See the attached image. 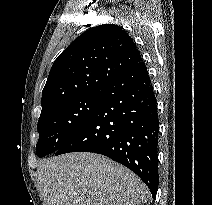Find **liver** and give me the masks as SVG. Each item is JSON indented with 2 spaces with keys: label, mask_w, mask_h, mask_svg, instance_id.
Masks as SVG:
<instances>
[{
  "label": "liver",
  "mask_w": 212,
  "mask_h": 205,
  "mask_svg": "<svg viewBox=\"0 0 212 205\" xmlns=\"http://www.w3.org/2000/svg\"><path fill=\"white\" fill-rule=\"evenodd\" d=\"M37 176L44 205H139L149 197L132 171L90 152L48 158Z\"/></svg>",
  "instance_id": "1"
}]
</instances>
